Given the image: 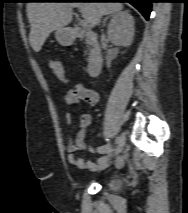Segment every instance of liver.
<instances>
[{
  "mask_svg": "<svg viewBox=\"0 0 188 213\" xmlns=\"http://www.w3.org/2000/svg\"><path fill=\"white\" fill-rule=\"evenodd\" d=\"M78 8L91 27L98 17L114 15L123 9L120 2H28L27 17L30 22L29 41L32 49L39 52L52 31L67 26Z\"/></svg>",
  "mask_w": 188,
  "mask_h": 213,
  "instance_id": "liver-1",
  "label": "liver"
}]
</instances>
